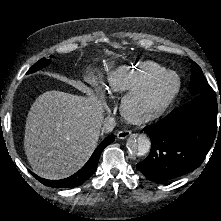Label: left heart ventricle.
Here are the masks:
<instances>
[{
    "label": "left heart ventricle",
    "mask_w": 221,
    "mask_h": 221,
    "mask_svg": "<svg viewBox=\"0 0 221 221\" xmlns=\"http://www.w3.org/2000/svg\"><path fill=\"white\" fill-rule=\"evenodd\" d=\"M175 84V79L174 78H169L163 83L159 84L152 92L149 102H157L161 99H163L168 92L171 90V88Z\"/></svg>",
    "instance_id": "left-heart-ventricle-1"
}]
</instances>
